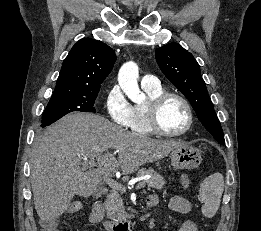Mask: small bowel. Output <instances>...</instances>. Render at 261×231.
<instances>
[{"mask_svg": "<svg viewBox=\"0 0 261 231\" xmlns=\"http://www.w3.org/2000/svg\"><path fill=\"white\" fill-rule=\"evenodd\" d=\"M180 179L183 188H188L190 185L188 176L185 174L181 175ZM146 204L150 207L157 206L159 204V197L157 195H149L146 199ZM168 205L171 210L184 215L191 212L190 202L181 196L172 197ZM178 231H198V228L193 220L187 219Z\"/></svg>", "mask_w": 261, "mask_h": 231, "instance_id": "obj_1", "label": "small bowel"}]
</instances>
